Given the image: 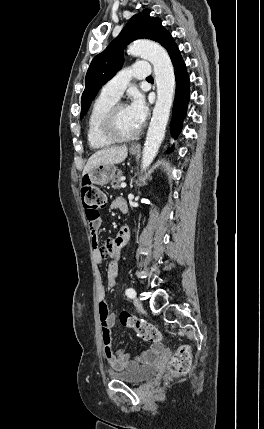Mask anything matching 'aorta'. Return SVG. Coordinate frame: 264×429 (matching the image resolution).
<instances>
[{
    "label": "aorta",
    "mask_w": 264,
    "mask_h": 429,
    "mask_svg": "<svg viewBox=\"0 0 264 429\" xmlns=\"http://www.w3.org/2000/svg\"><path fill=\"white\" fill-rule=\"evenodd\" d=\"M128 52L151 62L157 86V100L143 147L142 169L146 170L157 155L165 136L175 92V75L168 53L156 42L135 41L128 47Z\"/></svg>",
    "instance_id": "1"
}]
</instances>
